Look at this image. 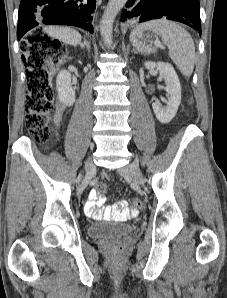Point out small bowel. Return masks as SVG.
Wrapping results in <instances>:
<instances>
[{
	"instance_id": "c3829d8e",
	"label": "small bowel",
	"mask_w": 227,
	"mask_h": 298,
	"mask_svg": "<svg viewBox=\"0 0 227 298\" xmlns=\"http://www.w3.org/2000/svg\"><path fill=\"white\" fill-rule=\"evenodd\" d=\"M60 120V112L57 114V122ZM102 191L94 189L90 192L88 201L85 204L84 211L86 215L94 218H120L125 219L130 214L135 213V209L128 210L123 205H105L106 197L100 194ZM98 207H102L98 210Z\"/></svg>"
}]
</instances>
